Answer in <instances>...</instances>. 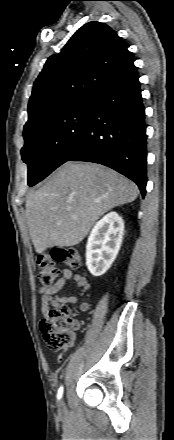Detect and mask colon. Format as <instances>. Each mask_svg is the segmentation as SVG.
Wrapping results in <instances>:
<instances>
[{
	"mask_svg": "<svg viewBox=\"0 0 174 440\" xmlns=\"http://www.w3.org/2000/svg\"><path fill=\"white\" fill-rule=\"evenodd\" d=\"M56 262H63L78 270L82 261L80 253L72 247H56L37 257L39 280L44 287L52 285L58 277ZM46 345L55 351L69 348L75 340V324L69 316L68 307L52 310L40 324Z\"/></svg>",
	"mask_w": 174,
	"mask_h": 440,
	"instance_id": "colon-1",
	"label": "colon"
}]
</instances>
